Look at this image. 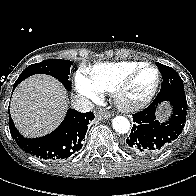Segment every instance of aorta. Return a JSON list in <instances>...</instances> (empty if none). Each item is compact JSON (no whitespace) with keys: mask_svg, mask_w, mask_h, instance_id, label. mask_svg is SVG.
<instances>
[{"mask_svg":"<svg viewBox=\"0 0 196 196\" xmlns=\"http://www.w3.org/2000/svg\"><path fill=\"white\" fill-rule=\"evenodd\" d=\"M113 129L120 133L126 134L130 129V122L126 117L116 116L112 121Z\"/></svg>","mask_w":196,"mask_h":196,"instance_id":"obj_1","label":"aorta"}]
</instances>
